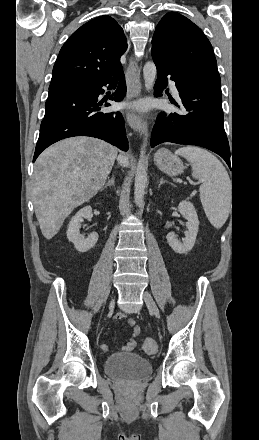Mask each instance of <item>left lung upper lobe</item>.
<instances>
[{
  "label": "left lung upper lobe",
  "instance_id": "5c2ea615",
  "mask_svg": "<svg viewBox=\"0 0 259 440\" xmlns=\"http://www.w3.org/2000/svg\"><path fill=\"white\" fill-rule=\"evenodd\" d=\"M151 52L183 77L200 75L220 82L209 40L197 25L179 13L163 16L155 29Z\"/></svg>",
  "mask_w": 259,
  "mask_h": 440
}]
</instances>
